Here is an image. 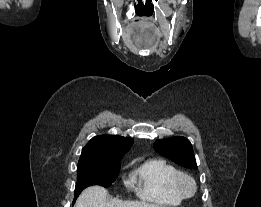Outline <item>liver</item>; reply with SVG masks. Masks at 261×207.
Listing matches in <instances>:
<instances>
[{
  "label": "liver",
  "instance_id": "liver-1",
  "mask_svg": "<svg viewBox=\"0 0 261 207\" xmlns=\"http://www.w3.org/2000/svg\"><path fill=\"white\" fill-rule=\"evenodd\" d=\"M107 190L101 186H91L83 190L75 207H162L145 201H123L112 199L106 201Z\"/></svg>",
  "mask_w": 261,
  "mask_h": 207
}]
</instances>
